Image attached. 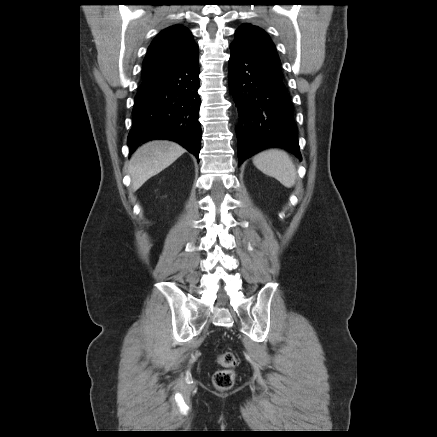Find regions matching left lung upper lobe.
Instances as JSON below:
<instances>
[{
	"label": "left lung upper lobe",
	"mask_w": 437,
	"mask_h": 437,
	"mask_svg": "<svg viewBox=\"0 0 437 437\" xmlns=\"http://www.w3.org/2000/svg\"><path fill=\"white\" fill-rule=\"evenodd\" d=\"M236 38L232 42L262 62L273 73L282 77L281 62L270 37L257 26L242 24L236 30Z\"/></svg>",
	"instance_id": "5c2ea615"
}]
</instances>
